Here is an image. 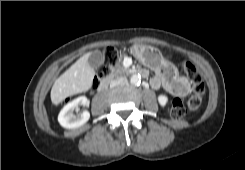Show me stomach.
<instances>
[{
	"mask_svg": "<svg viewBox=\"0 0 245 170\" xmlns=\"http://www.w3.org/2000/svg\"><path fill=\"white\" fill-rule=\"evenodd\" d=\"M131 53L143 65L151 69H158L163 65V58L161 53L151 46L138 44L133 45L131 47ZM185 86L188 87V84Z\"/></svg>",
	"mask_w": 245,
	"mask_h": 170,
	"instance_id": "obj_1",
	"label": "stomach"
}]
</instances>
